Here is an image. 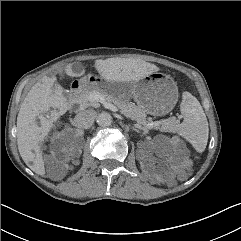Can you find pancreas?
<instances>
[{"label": "pancreas", "instance_id": "obj_1", "mask_svg": "<svg viewBox=\"0 0 241 241\" xmlns=\"http://www.w3.org/2000/svg\"><path fill=\"white\" fill-rule=\"evenodd\" d=\"M95 93L102 95L109 103L113 102L115 105H117L120 109V112L126 117L135 120L139 124L147 123L146 113L138 108L135 104L128 101H118L110 96L103 94L96 88L84 90L77 97H75V103H77L81 109L87 108L89 105L95 102L91 99V95ZM178 124L179 121L175 117H171L169 119L163 120L162 124L158 127L163 131H173L177 128Z\"/></svg>", "mask_w": 241, "mask_h": 241}]
</instances>
